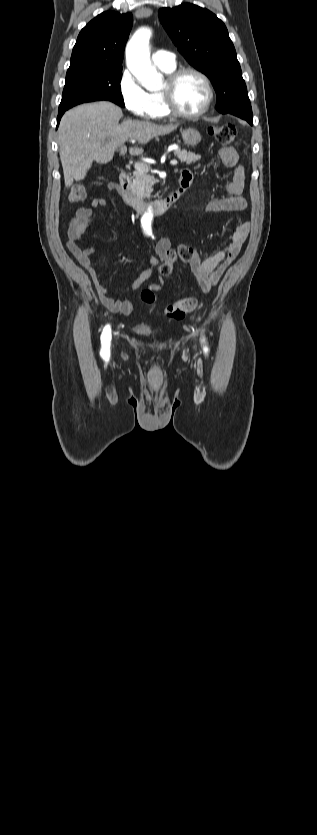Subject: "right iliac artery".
<instances>
[{
	"label": "right iliac artery",
	"instance_id": "obj_1",
	"mask_svg": "<svg viewBox=\"0 0 317 835\" xmlns=\"http://www.w3.org/2000/svg\"><path fill=\"white\" fill-rule=\"evenodd\" d=\"M110 341H111V328L109 325H106L103 329L101 334V351L100 354L103 359H108L110 355Z\"/></svg>",
	"mask_w": 317,
	"mask_h": 835
}]
</instances>
